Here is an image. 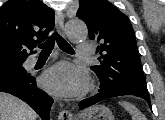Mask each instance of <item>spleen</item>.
Listing matches in <instances>:
<instances>
[{"mask_svg":"<svg viewBox=\"0 0 165 120\" xmlns=\"http://www.w3.org/2000/svg\"><path fill=\"white\" fill-rule=\"evenodd\" d=\"M119 104L129 112L132 120H147L146 117L133 104L127 101H120Z\"/></svg>","mask_w":165,"mask_h":120,"instance_id":"obj_1","label":"spleen"}]
</instances>
